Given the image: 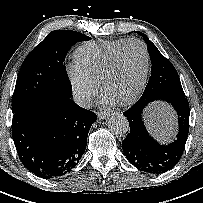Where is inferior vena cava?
<instances>
[{"label":"inferior vena cava","mask_w":203,"mask_h":203,"mask_svg":"<svg viewBox=\"0 0 203 203\" xmlns=\"http://www.w3.org/2000/svg\"><path fill=\"white\" fill-rule=\"evenodd\" d=\"M74 101L81 107H91V96L87 92H76L73 95Z\"/></svg>","instance_id":"inferior-vena-cava-1"}]
</instances>
